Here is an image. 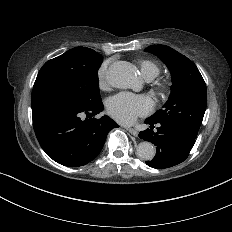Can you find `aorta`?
I'll return each instance as SVG.
<instances>
[{"label":"aorta","mask_w":232,"mask_h":232,"mask_svg":"<svg viewBox=\"0 0 232 232\" xmlns=\"http://www.w3.org/2000/svg\"><path fill=\"white\" fill-rule=\"evenodd\" d=\"M106 78L112 87L119 89L135 88L139 82L135 69L124 61L111 64ZM155 152V147L150 142L144 141L138 144L137 154L142 160H152Z\"/></svg>","instance_id":"obj_1"}]
</instances>
